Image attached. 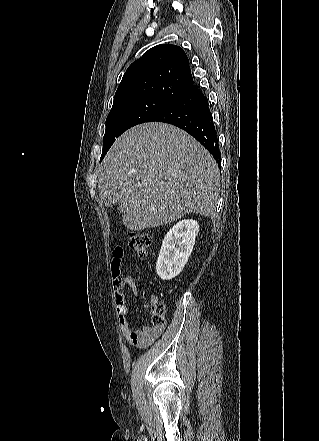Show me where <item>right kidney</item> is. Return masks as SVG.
<instances>
[{"mask_svg": "<svg viewBox=\"0 0 319 441\" xmlns=\"http://www.w3.org/2000/svg\"><path fill=\"white\" fill-rule=\"evenodd\" d=\"M198 232L199 225L193 219L181 220L170 228L156 263V272L162 280L167 281L180 274L192 253Z\"/></svg>", "mask_w": 319, "mask_h": 441, "instance_id": "right-kidney-1", "label": "right kidney"}]
</instances>
